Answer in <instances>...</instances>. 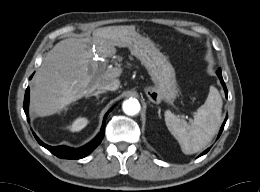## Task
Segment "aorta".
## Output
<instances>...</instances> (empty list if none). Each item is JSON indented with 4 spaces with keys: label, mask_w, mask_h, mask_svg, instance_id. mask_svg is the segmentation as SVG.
I'll return each mask as SVG.
<instances>
[{
    "label": "aorta",
    "mask_w": 260,
    "mask_h": 192,
    "mask_svg": "<svg viewBox=\"0 0 260 192\" xmlns=\"http://www.w3.org/2000/svg\"><path fill=\"white\" fill-rule=\"evenodd\" d=\"M122 109L125 114L133 116L139 113L141 106L137 99L130 98L123 102Z\"/></svg>",
    "instance_id": "762f6f07"
}]
</instances>
